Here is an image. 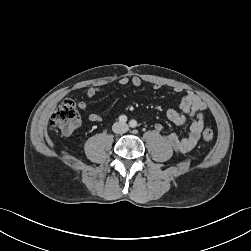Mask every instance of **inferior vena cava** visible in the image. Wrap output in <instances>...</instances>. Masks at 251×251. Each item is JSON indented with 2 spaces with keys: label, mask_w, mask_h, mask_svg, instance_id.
<instances>
[{
  "label": "inferior vena cava",
  "mask_w": 251,
  "mask_h": 251,
  "mask_svg": "<svg viewBox=\"0 0 251 251\" xmlns=\"http://www.w3.org/2000/svg\"><path fill=\"white\" fill-rule=\"evenodd\" d=\"M127 130H128V125L126 123L117 122L113 125V131L115 133L122 134L127 132Z\"/></svg>",
  "instance_id": "602c4592"
}]
</instances>
